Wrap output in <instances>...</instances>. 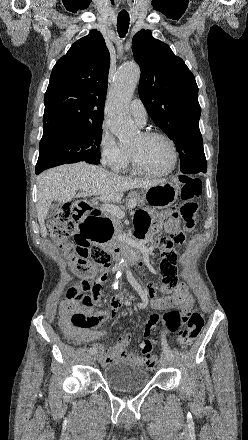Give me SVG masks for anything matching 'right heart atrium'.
<instances>
[{
    "instance_id": "obj_1",
    "label": "right heart atrium",
    "mask_w": 248,
    "mask_h": 440,
    "mask_svg": "<svg viewBox=\"0 0 248 440\" xmlns=\"http://www.w3.org/2000/svg\"><path fill=\"white\" fill-rule=\"evenodd\" d=\"M99 150L102 162L113 170L122 169L129 157L128 149L116 140L106 125L101 129Z\"/></svg>"
}]
</instances>
